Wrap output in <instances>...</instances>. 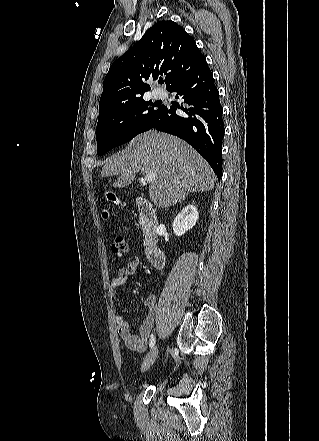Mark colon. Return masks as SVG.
Returning a JSON list of instances; mask_svg holds the SVG:
<instances>
[{
  "instance_id": "5ec220e1",
  "label": "colon",
  "mask_w": 319,
  "mask_h": 441,
  "mask_svg": "<svg viewBox=\"0 0 319 441\" xmlns=\"http://www.w3.org/2000/svg\"><path fill=\"white\" fill-rule=\"evenodd\" d=\"M110 201L116 202L118 201L115 196L108 197ZM107 213H105V216ZM127 250V243L125 238L121 234H115L112 239L111 251L114 254L121 255L125 253Z\"/></svg>"
}]
</instances>
